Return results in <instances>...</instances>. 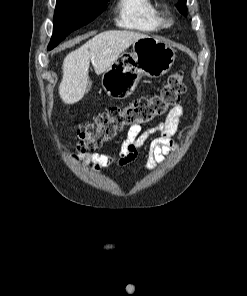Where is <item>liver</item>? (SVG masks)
Returning a JSON list of instances; mask_svg holds the SVG:
<instances>
[{
  "label": "liver",
  "instance_id": "obj_1",
  "mask_svg": "<svg viewBox=\"0 0 247 296\" xmlns=\"http://www.w3.org/2000/svg\"><path fill=\"white\" fill-rule=\"evenodd\" d=\"M148 37L134 31H105L70 52L63 61L59 95L65 104L82 99L88 85L90 61L95 73H104L134 42Z\"/></svg>",
  "mask_w": 247,
  "mask_h": 296
}]
</instances>
